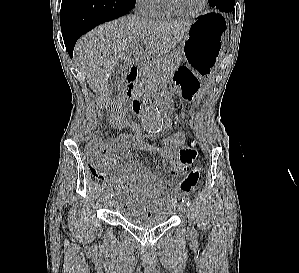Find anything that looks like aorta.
Masks as SVG:
<instances>
[{
    "mask_svg": "<svg viewBox=\"0 0 299 273\" xmlns=\"http://www.w3.org/2000/svg\"><path fill=\"white\" fill-rule=\"evenodd\" d=\"M163 119L155 102L149 101L142 114V126L149 133H159L162 129Z\"/></svg>",
    "mask_w": 299,
    "mask_h": 273,
    "instance_id": "1",
    "label": "aorta"
}]
</instances>
